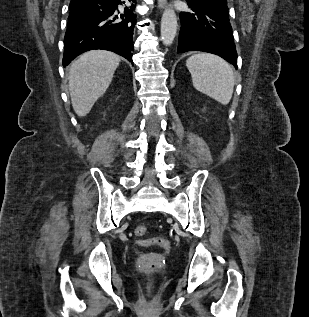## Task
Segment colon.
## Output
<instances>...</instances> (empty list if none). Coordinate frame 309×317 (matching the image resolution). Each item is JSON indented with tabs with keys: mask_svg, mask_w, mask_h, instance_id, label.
Masks as SVG:
<instances>
[{
	"mask_svg": "<svg viewBox=\"0 0 309 317\" xmlns=\"http://www.w3.org/2000/svg\"><path fill=\"white\" fill-rule=\"evenodd\" d=\"M134 233L137 237H142L146 233V227L144 225H138L134 229ZM138 244L141 246H144V247L159 246V247H162L164 249L170 248L169 240L166 238H163V237H154V238L139 240ZM148 289L151 290V284H149Z\"/></svg>",
	"mask_w": 309,
	"mask_h": 317,
	"instance_id": "colon-1",
	"label": "colon"
}]
</instances>
